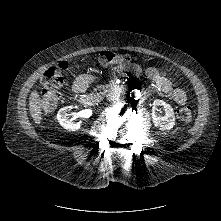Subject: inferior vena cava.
I'll return each mask as SVG.
<instances>
[{"label":"inferior vena cava","mask_w":221,"mask_h":221,"mask_svg":"<svg viewBox=\"0 0 221 221\" xmlns=\"http://www.w3.org/2000/svg\"><path fill=\"white\" fill-rule=\"evenodd\" d=\"M118 97H119V94L114 93V92L109 93V94L106 95V98H107L109 101H113V100L117 99Z\"/></svg>","instance_id":"obj_1"}]
</instances>
